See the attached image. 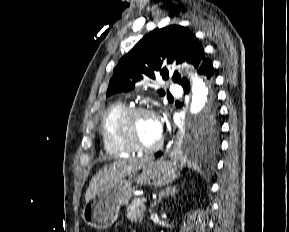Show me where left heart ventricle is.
<instances>
[{
    "instance_id": "b2bd125f",
    "label": "left heart ventricle",
    "mask_w": 289,
    "mask_h": 232,
    "mask_svg": "<svg viewBox=\"0 0 289 232\" xmlns=\"http://www.w3.org/2000/svg\"><path fill=\"white\" fill-rule=\"evenodd\" d=\"M133 134L136 141L144 146L150 147L159 141L157 134V120L148 115H140L133 121Z\"/></svg>"
}]
</instances>
